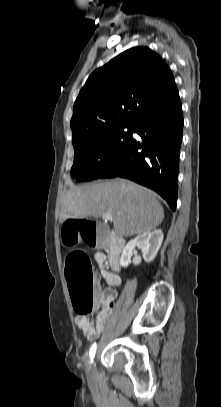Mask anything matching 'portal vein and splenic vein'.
<instances>
[{
	"label": "portal vein and splenic vein",
	"instance_id": "18ae733b",
	"mask_svg": "<svg viewBox=\"0 0 221 407\" xmlns=\"http://www.w3.org/2000/svg\"><path fill=\"white\" fill-rule=\"evenodd\" d=\"M103 218H104L105 220H111V221H112V215H111L110 213H105V214H103Z\"/></svg>",
	"mask_w": 221,
	"mask_h": 407
}]
</instances>
